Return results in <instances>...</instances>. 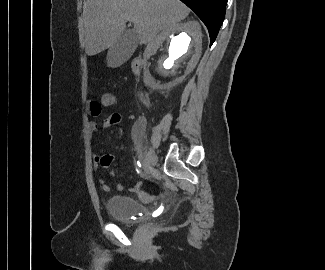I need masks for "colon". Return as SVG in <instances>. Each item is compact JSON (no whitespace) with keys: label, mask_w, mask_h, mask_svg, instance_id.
<instances>
[{"label":"colon","mask_w":325,"mask_h":270,"mask_svg":"<svg viewBox=\"0 0 325 270\" xmlns=\"http://www.w3.org/2000/svg\"><path fill=\"white\" fill-rule=\"evenodd\" d=\"M101 103L104 107L113 106L115 103V95L111 92H104L101 96Z\"/></svg>","instance_id":"5ec220e1"}]
</instances>
